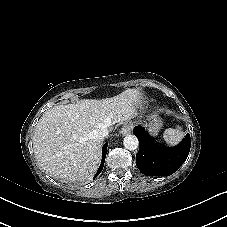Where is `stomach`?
Masks as SVG:
<instances>
[{"instance_id": "stomach-1", "label": "stomach", "mask_w": 227, "mask_h": 227, "mask_svg": "<svg viewBox=\"0 0 227 227\" xmlns=\"http://www.w3.org/2000/svg\"><path fill=\"white\" fill-rule=\"evenodd\" d=\"M146 126L148 127L150 134L157 135L162 127V120L158 116H153Z\"/></svg>"}]
</instances>
